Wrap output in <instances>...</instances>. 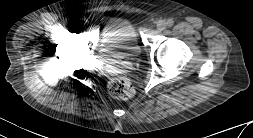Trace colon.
Here are the masks:
<instances>
[{
    "mask_svg": "<svg viewBox=\"0 0 253 138\" xmlns=\"http://www.w3.org/2000/svg\"><path fill=\"white\" fill-rule=\"evenodd\" d=\"M110 93L118 99H128L133 95L134 89L126 78H115L109 84Z\"/></svg>",
    "mask_w": 253,
    "mask_h": 138,
    "instance_id": "5ec220e1",
    "label": "colon"
}]
</instances>
